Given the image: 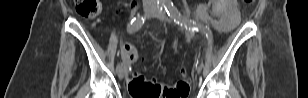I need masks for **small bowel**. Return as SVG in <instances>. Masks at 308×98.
Returning <instances> with one entry per match:
<instances>
[{
	"label": "small bowel",
	"mask_w": 308,
	"mask_h": 98,
	"mask_svg": "<svg viewBox=\"0 0 308 98\" xmlns=\"http://www.w3.org/2000/svg\"><path fill=\"white\" fill-rule=\"evenodd\" d=\"M136 5H137V3L136 2H134L133 4H132V7L133 8H135L136 7ZM218 29L220 30V31H224L221 27H218ZM133 79V78H132Z\"/></svg>",
	"instance_id": "1"
}]
</instances>
